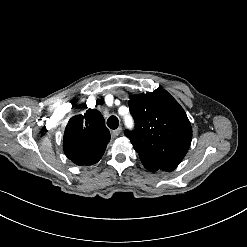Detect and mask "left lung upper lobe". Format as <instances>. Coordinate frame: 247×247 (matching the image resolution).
Returning <instances> with one entry per match:
<instances>
[{"label":"left lung upper lobe","mask_w":247,"mask_h":247,"mask_svg":"<svg viewBox=\"0 0 247 247\" xmlns=\"http://www.w3.org/2000/svg\"><path fill=\"white\" fill-rule=\"evenodd\" d=\"M135 129L124 134L149 171H173L185 157L192 128L183 108L164 89L130 97Z\"/></svg>","instance_id":"obj_1"}]
</instances>
